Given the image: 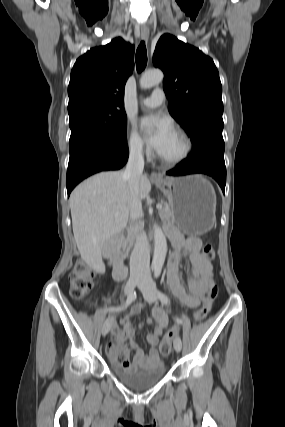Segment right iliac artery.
I'll use <instances>...</instances> for the list:
<instances>
[{
	"label": "right iliac artery",
	"mask_w": 285,
	"mask_h": 427,
	"mask_svg": "<svg viewBox=\"0 0 285 427\" xmlns=\"http://www.w3.org/2000/svg\"><path fill=\"white\" fill-rule=\"evenodd\" d=\"M136 298V292H132L129 294V296L127 297V300L125 302V304L123 305L122 308H126L127 306H129Z\"/></svg>",
	"instance_id": "obj_1"
}]
</instances>
